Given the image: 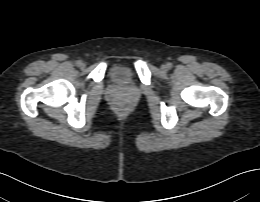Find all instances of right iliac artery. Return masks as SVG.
<instances>
[{"label":"right iliac artery","mask_w":260,"mask_h":202,"mask_svg":"<svg viewBox=\"0 0 260 202\" xmlns=\"http://www.w3.org/2000/svg\"><path fill=\"white\" fill-rule=\"evenodd\" d=\"M81 63H82V61H81V60H78V61L76 62V65H77L78 67H80Z\"/></svg>","instance_id":"right-iliac-artery-1"}]
</instances>
